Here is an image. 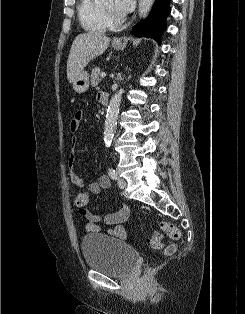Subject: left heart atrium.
I'll return each mask as SVG.
<instances>
[{"label":"left heart atrium","instance_id":"1","mask_svg":"<svg viewBox=\"0 0 245 314\" xmlns=\"http://www.w3.org/2000/svg\"><path fill=\"white\" fill-rule=\"evenodd\" d=\"M135 0H115L116 10L121 14H127L134 8Z\"/></svg>","mask_w":245,"mask_h":314}]
</instances>
